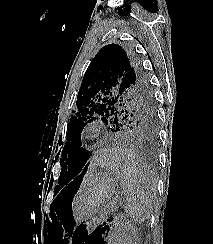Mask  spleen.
Returning a JSON list of instances; mask_svg holds the SVG:
<instances>
[{"label":"spleen","mask_w":213,"mask_h":244,"mask_svg":"<svg viewBox=\"0 0 213 244\" xmlns=\"http://www.w3.org/2000/svg\"><path fill=\"white\" fill-rule=\"evenodd\" d=\"M120 180L125 192V211L134 223H142L152 213V195L155 190L147 163L128 150L113 149L104 162Z\"/></svg>","instance_id":"1"}]
</instances>
